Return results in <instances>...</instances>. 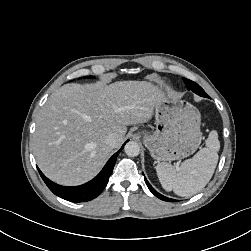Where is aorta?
Masks as SVG:
<instances>
[{
    "label": "aorta",
    "instance_id": "obj_1",
    "mask_svg": "<svg viewBox=\"0 0 251 251\" xmlns=\"http://www.w3.org/2000/svg\"><path fill=\"white\" fill-rule=\"evenodd\" d=\"M126 155L130 157H136L140 153V146L135 141H129L124 147Z\"/></svg>",
    "mask_w": 251,
    "mask_h": 251
}]
</instances>
